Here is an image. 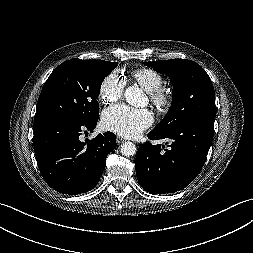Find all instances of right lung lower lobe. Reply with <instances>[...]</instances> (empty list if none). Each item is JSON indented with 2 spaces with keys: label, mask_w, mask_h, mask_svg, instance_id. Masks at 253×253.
Returning a JSON list of instances; mask_svg holds the SVG:
<instances>
[{
  "label": "right lung lower lobe",
  "mask_w": 253,
  "mask_h": 253,
  "mask_svg": "<svg viewBox=\"0 0 253 253\" xmlns=\"http://www.w3.org/2000/svg\"><path fill=\"white\" fill-rule=\"evenodd\" d=\"M98 118L76 122L63 117L34 121L33 145L39 170L46 183L63 194H81L100 180L107 155L116 147L112 132L82 142L84 131L93 132Z\"/></svg>",
  "instance_id": "1"
}]
</instances>
